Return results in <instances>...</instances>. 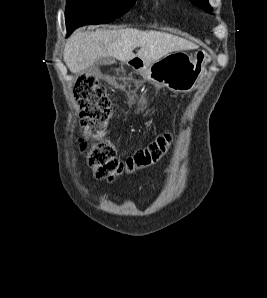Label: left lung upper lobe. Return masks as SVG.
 Wrapping results in <instances>:
<instances>
[{"instance_id": "1", "label": "left lung upper lobe", "mask_w": 267, "mask_h": 298, "mask_svg": "<svg viewBox=\"0 0 267 298\" xmlns=\"http://www.w3.org/2000/svg\"><path fill=\"white\" fill-rule=\"evenodd\" d=\"M191 2L205 10L212 11V8L209 5L208 0H191Z\"/></svg>"}]
</instances>
